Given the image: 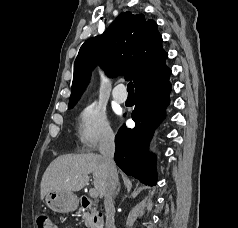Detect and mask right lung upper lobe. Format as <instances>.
Wrapping results in <instances>:
<instances>
[{
	"label": "right lung upper lobe",
	"mask_w": 238,
	"mask_h": 228,
	"mask_svg": "<svg viewBox=\"0 0 238 228\" xmlns=\"http://www.w3.org/2000/svg\"><path fill=\"white\" fill-rule=\"evenodd\" d=\"M167 56L153 20L146 21L143 14L121 13L102 35L81 46L75 60L69 103H77L96 63L111 77L125 75L133 80L136 90L169 69L165 65Z\"/></svg>",
	"instance_id": "right-lung-upper-lobe-1"
}]
</instances>
